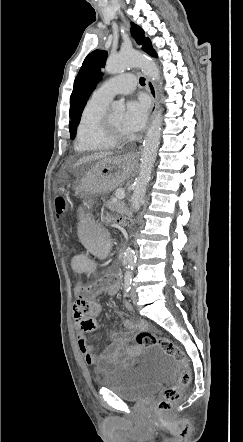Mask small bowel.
Instances as JSON below:
<instances>
[{
    "mask_svg": "<svg viewBox=\"0 0 243 442\" xmlns=\"http://www.w3.org/2000/svg\"><path fill=\"white\" fill-rule=\"evenodd\" d=\"M120 279L117 273H109L89 286H78L75 290L77 299L73 306V316L77 346L84 362L98 372L107 373L119 367L130 366V362L141 352L139 345L131 343L134 332L146 328V323L137 317L122 321L125 332L120 333L115 330L109 332L111 344L104 351H98L88 343L87 334L97 328L95 318L102 312V305L93 300V296L102 292L115 294L119 288ZM85 289L89 290L88 294L84 293ZM82 306L85 311H82ZM124 306L129 311L132 308L127 302ZM124 355H126L125 359H123Z\"/></svg>",
    "mask_w": 243,
    "mask_h": 442,
    "instance_id": "small-bowel-1",
    "label": "small bowel"
}]
</instances>
